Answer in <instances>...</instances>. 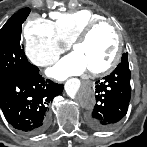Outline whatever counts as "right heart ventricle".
I'll return each mask as SVG.
<instances>
[{
  "label": "right heart ventricle",
  "instance_id": "e07e8e85",
  "mask_svg": "<svg viewBox=\"0 0 147 147\" xmlns=\"http://www.w3.org/2000/svg\"><path fill=\"white\" fill-rule=\"evenodd\" d=\"M55 36L67 43L90 23L104 19L90 9H78L70 12H54L51 14Z\"/></svg>",
  "mask_w": 147,
  "mask_h": 147
}]
</instances>
